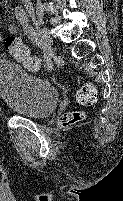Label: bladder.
<instances>
[{"instance_id": "31cf9c89", "label": "bladder", "mask_w": 123, "mask_h": 201, "mask_svg": "<svg viewBox=\"0 0 123 201\" xmlns=\"http://www.w3.org/2000/svg\"><path fill=\"white\" fill-rule=\"evenodd\" d=\"M0 99L20 116L41 119L58 106L59 93L50 81L27 73L11 59H0Z\"/></svg>"}]
</instances>
